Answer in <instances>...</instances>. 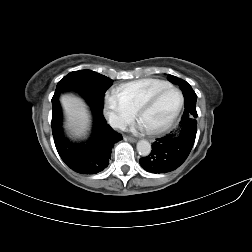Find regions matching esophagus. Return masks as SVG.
Instances as JSON below:
<instances>
[{"mask_svg": "<svg viewBox=\"0 0 252 252\" xmlns=\"http://www.w3.org/2000/svg\"><path fill=\"white\" fill-rule=\"evenodd\" d=\"M126 140L132 142V143H135L137 141V139L133 138V137H128V136H125L124 137Z\"/></svg>", "mask_w": 252, "mask_h": 252, "instance_id": "1", "label": "esophagus"}]
</instances>
